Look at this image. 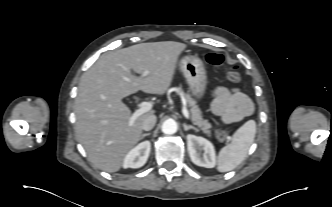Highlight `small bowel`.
<instances>
[{
	"label": "small bowel",
	"mask_w": 332,
	"mask_h": 207,
	"mask_svg": "<svg viewBox=\"0 0 332 207\" xmlns=\"http://www.w3.org/2000/svg\"><path fill=\"white\" fill-rule=\"evenodd\" d=\"M212 111L224 123H233L250 116L253 112V103L240 89L218 87L214 91Z\"/></svg>",
	"instance_id": "small-bowel-1"
}]
</instances>
